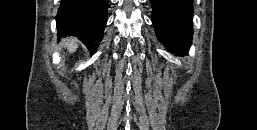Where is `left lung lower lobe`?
<instances>
[{
  "label": "left lung lower lobe",
  "instance_id": "1",
  "mask_svg": "<svg viewBox=\"0 0 257 130\" xmlns=\"http://www.w3.org/2000/svg\"><path fill=\"white\" fill-rule=\"evenodd\" d=\"M158 39L169 49H188L192 43L193 0H150Z\"/></svg>",
  "mask_w": 257,
  "mask_h": 130
}]
</instances>
